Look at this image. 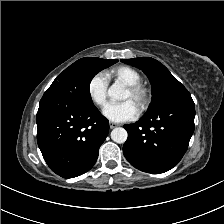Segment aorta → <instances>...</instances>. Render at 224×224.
I'll list each match as a JSON object with an SVG mask.
<instances>
[{
	"label": "aorta",
	"mask_w": 224,
	"mask_h": 224,
	"mask_svg": "<svg viewBox=\"0 0 224 224\" xmlns=\"http://www.w3.org/2000/svg\"><path fill=\"white\" fill-rule=\"evenodd\" d=\"M108 96L113 100H122L125 98V91L120 84L114 83L108 89ZM127 137L128 133L122 127L114 128L111 132V139L119 144L124 143L127 140Z\"/></svg>",
	"instance_id": "762f6f07"
}]
</instances>
